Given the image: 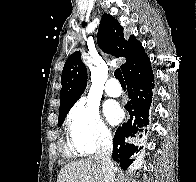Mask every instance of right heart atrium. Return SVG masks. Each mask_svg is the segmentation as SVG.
Wrapping results in <instances>:
<instances>
[{"label":"right heart atrium","mask_w":196,"mask_h":182,"mask_svg":"<svg viewBox=\"0 0 196 182\" xmlns=\"http://www.w3.org/2000/svg\"><path fill=\"white\" fill-rule=\"evenodd\" d=\"M70 146L80 155L91 154L107 145L112 134L103 121L97 105L79 101L67 116Z\"/></svg>","instance_id":"right-heart-atrium-1"}]
</instances>
